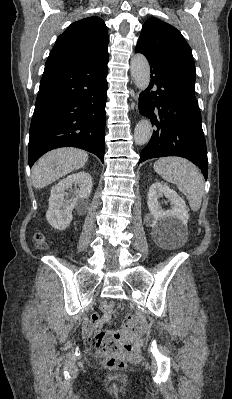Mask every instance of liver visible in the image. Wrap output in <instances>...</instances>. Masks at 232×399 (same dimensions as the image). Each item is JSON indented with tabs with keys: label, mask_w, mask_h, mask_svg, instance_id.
I'll use <instances>...</instances> for the list:
<instances>
[{
	"label": "liver",
	"mask_w": 232,
	"mask_h": 399,
	"mask_svg": "<svg viewBox=\"0 0 232 399\" xmlns=\"http://www.w3.org/2000/svg\"><path fill=\"white\" fill-rule=\"evenodd\" d=\"M88 160L87 152L76 148H59L42 156L32 168V184L40 190L62 176L83 168Z\"/></svg>",
	"instance_id": "6515ba94"
}]
</instances>
